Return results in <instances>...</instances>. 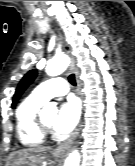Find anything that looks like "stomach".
I'll return each instance as SVG.
<instances>
[{"mask_svg": "<svg viewBox=\"0 0 135 166\" xmlns=\"http://www.w3.org/2000/svg\"><path fill=\"white\" fill-rule=\"evenodd\" d=\"M22 161V156L14 155L10 160H8L6 166H41L39 164L35 165L31 160H29V163L27 165H24Z\"/></svg>", "mask_w": 135, "mask_h": 166, "instance_id": "stomach-1", "label": "stomach"}]
</instances>
